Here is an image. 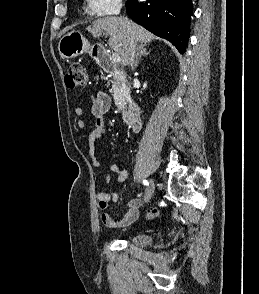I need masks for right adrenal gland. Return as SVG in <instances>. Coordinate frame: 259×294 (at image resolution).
<instances>
[{"mask_svg":"<svg viewBox=\"0 0 259 294\" xmlns=\"http://www.w3.org/2000/svg\"><path fill=\"white\" fill-rule=\"evenodd\" d=\"M146 45L144 44H141L137 47V55H136V60H135V67L138 66L139 64V60L141 59L142 56H146L148 55L149 53L147 52V49L145 48Z\"/></svg>","mask_w":259,"mask_h":294,"instance_id":"1","label":"right adrenal gland"}]
</instances>
